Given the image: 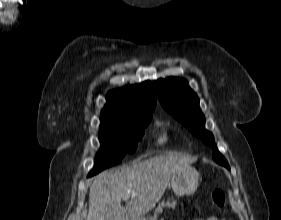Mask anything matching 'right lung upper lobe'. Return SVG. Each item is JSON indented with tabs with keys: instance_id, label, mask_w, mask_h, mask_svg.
Listing matches in <instances>:
<instances>
[{
	"instance_id": "cb5924a9",
	"label": "right lung upper lobe",
	"mask_w": 281,
	"mask_h": 220,
	"mask_svg": "<svg viewBox=\"0 0 281 220\" xmlns=\"http://www.w3.org/2000/svg\"><path fill=\"white\" fill-rule=\"evenodd\" d=\"M107 104L101 112V125L152 115L156 97L150 81L108 92Z\"/></svg>"
}]
</instances>
